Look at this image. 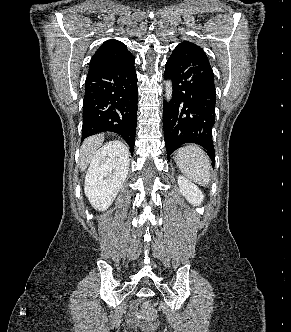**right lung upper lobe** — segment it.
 Listing matches in <instances>:
<instances>
[{
	"mask_svg": "<svg viewBox=\"0 0 291 332\" xmlns=\"http://www.w3.org/2000/svg\"><path fill=\"white\" fill-rule=\"evenodd\" d=\"M132 57L127 47L117 40L105 41L93 55L90 68L116 64Z\"/></svg>",
	"mask_w": 291,
	"mask_h": 332,
	"instance_id": "cb5924a9",
	"label": "right lung upper lobe"
}]
</instances>
